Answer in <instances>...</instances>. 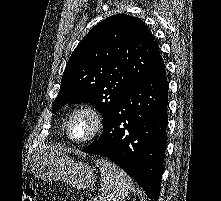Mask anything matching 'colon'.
Here are the masks:
<instances>
[{"label":"colon","instance_id":"1","mask_svg":"<svg viewBox=\"0 0 221 201\" xmlns=\"http://www.w3.org/2000/svg\"><path fill=\"white\" fill-rule=\"evenodd\" d=\"M37 193L33 188H26L22 201H36Z\"/></svg>","mask_w":221,"mask_h":201}]
</instances>
